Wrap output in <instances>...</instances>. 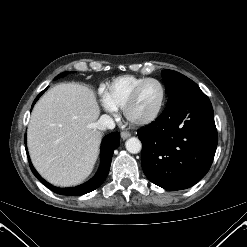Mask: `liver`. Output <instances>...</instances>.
<instances>
[{
    "label": "liver",
    "instance_id": "obj_1",
    "mask_svg": "<svg viewBox=\"0 0 247 247\" xmlns=\"http://www.w3.org/2000/svg\"><path fill=\"white\" fill-rule=\"evenodd\" d=\"M100 109L87 86L62 83L36 103L29 122L27 145L39 174L53 185L74 186L92 172L98 157Z\"/></svg>",
    "mask_w": 247,
    "mask_h": 247
}]
</instances>
